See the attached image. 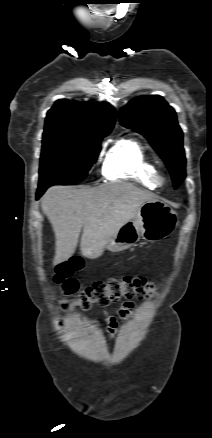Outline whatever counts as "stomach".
Wrapping results in <instances>:
<instances>
[{
  "instance_id": "1",
  "label": "stomach",
  "mask_w": 212,
  "mask_h": 438,
  "mask_svg": "<svg viewBox=\"0 0 212 438\" xmlns=\"http://www.w3.org/2000/svg\"><path fill=\"white\" fill-rule=\"evenodd\" d=\"M177 224V214L170 206L160 200L147 201L132 220L122 225L106 248L111 252H120L141 238L150 243L161 241L173 233Z\"/></svg>"
}]
</instances>
